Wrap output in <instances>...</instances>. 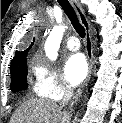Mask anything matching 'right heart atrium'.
Returning a JSON list of instances; mask_svg holds the SVG:
<instances>
[{
    "mask_svg": "<svg viewBox=\"0 0 122 123\" xmlns=\"http://www.w3.org/2000/svg\"><path fill=\"white\" fill-rule=\"evenodd\" d=\"M34 91L37 95L50 99L65 97L70 88L60 73L47 61L37 58L32 63Z\"/></svg>",
    "mask_w": 122,
    "mask_h": 123,
    "instance_id": "d8ad5b80",
    "label": "right heart atrium"
}]
</instances>
